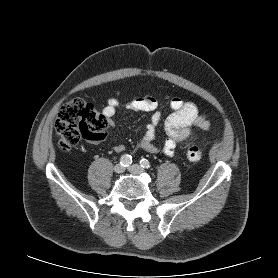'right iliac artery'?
Segmentation results:
<instances>
[{"mask_svg": "<svg viewBox=\"0 0 278 278\" xmlns=\"http://www.w3.org/2000/svg\"><path fill=\"white\" fill-rule=\"evenodd\" d=\"M131 163H132V157H131V155L124 154V155L121 156V158H120V164H121L123 167L129 166Z\"/></svg>", "mask_w": 278, "mask_h": 278, "instance_id": "82829eb1", "label": "right iliac artery"}]
</instances>
